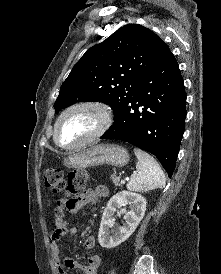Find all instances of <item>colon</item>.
I'll list each match as a JSON object with an SVG mask.
<instances>
[{
  "instance_id": "1",
  "label": "colon",
  "mask_w": 221,
  "mask_h": 274,
  "mask_svg": "<svg viewBox=\"0 0 221 274\" xmlns=\"http://www.w3.org/2000/svg\"><path fill=\"white\" fill-rule=\"evenodd\" d=\"M43 179L50 191L54 193L64 191L71 199H75L84 189L87 176L82 171H76L65 177L61 170L49 167L44 169Z\"/></svg>"
}]
</instances>
